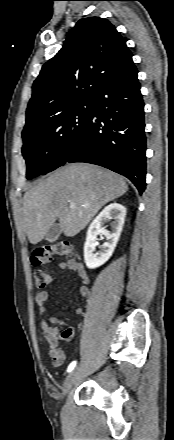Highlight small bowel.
Listing matches in <instances>:
<instances>
[{
    "label": "small bowel",
    "instance_id": "c3829d8e",
    "mask_svg": "<svg viewBox=\"0 0 174 440\" xmlns=\"http://www.w3.org/2000/svg\"><path fill=\"white\" fill-rule=\"evenodd\" d=\"M59 268L62 271H70L80 278L81 286H80L79 291H80L81 297H84L88 292V286L90 284V279H89L83 265L77 261L69 260V261L60 262ZM47 299H48V292L46 290H39L36 292L35 301L38 306V315L42 319L41 328H42L43 335L48 343V353H49L50 357L53 359V364L55 366H61L65 362V356H64L63 352L58 347V339L56 337L57 330L50 327L48 325V323L44 320L46 313H47V308L45 305ZM72 303H73V301L71 300L69 305L62 306L61 309L66 310V309L70 308ZM82 312H83L82 308L76 309L77 314H81ZM51 320L56 321L57 317H52ZM70 338L66 339L65 341H69Z\"/></svg>",
    "mask_w": 174,
    "mask_h": 440
}]
</instances>
